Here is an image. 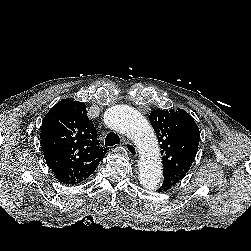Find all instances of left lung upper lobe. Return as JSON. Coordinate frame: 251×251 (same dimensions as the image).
Returning <instances> with one entry per match:
<instances>
[{"instance_id": "obj_1", "label": "left lung upper lobe", "mask_w": 251, "mask_h": 251, "mask_svg": "<svg viewBox=\"0 0 251 251\" xmlns=\"http://www.w3.org/2000/svg\"><path fill=\"white\" fill-rule=\"evenodd\" d=\"M150 122L161 147L163 184L171 188L188 172L199 145L200 133L194 119L184 110H153Z\"/></svg>"}]
</instances>
